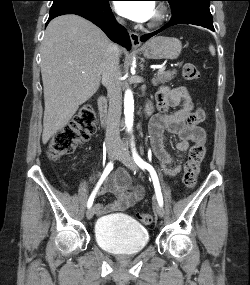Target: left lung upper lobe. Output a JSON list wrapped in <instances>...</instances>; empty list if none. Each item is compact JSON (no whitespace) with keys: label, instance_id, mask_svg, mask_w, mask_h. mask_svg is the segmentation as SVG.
<instances>
[{"label":"left lung upper lobe","instance_id":"obj_1","mask_svg":"<svg viewBox=\"0 0 250 285\" xmlns=\"http://www.w3.org/2000/svg\"><path fill=\"white\" fill-rule=\"evenodd\" d=\"M172 8V21H181L190 17L212 18L210 13V1L212 0H165Z\"/></svg>","mask_w":250,"mask_h":285}]
</instances>
